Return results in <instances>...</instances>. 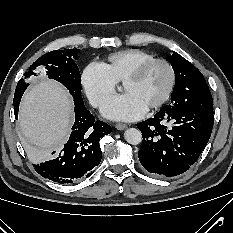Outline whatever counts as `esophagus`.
Listing matches in <instances>:
<instances>
[{
    "mask_svg": "<svg viewBox=\"0 0 233 233\" xmlns=\"http://www.w3.org/2000/svg\"><path fill=\"white\" fill-rule=\"evenodd\" d=\"M115 128L117 130L122 131V130H125L127 128V125L126 124H122V123H118V124L115 125Z\"/></svg>",
    "mask_w": 233,
    "mask_h": 233,
    "instance_id": "obj_1",
    "label": "esophagus"
}]
</instances>
